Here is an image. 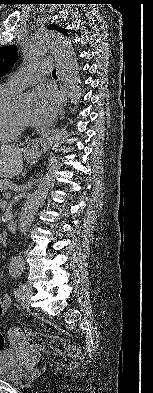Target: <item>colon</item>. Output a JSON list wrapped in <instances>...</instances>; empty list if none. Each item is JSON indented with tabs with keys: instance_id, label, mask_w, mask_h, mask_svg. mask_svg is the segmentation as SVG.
I'll use <instances>...</instances> for the list:
<instances>
[{
	"instance_id": "5ec220e1",
	"label": "colon",
	"mask_w": 153,
	"mask_h": 393,
	"mask_svg": "<svg viewBox=\"0 0 153 393\" xmlns=\"http://www.w3.org/2000/svg\"><path fill=\"white\" fill-rule=\"evenodd\" d=\"M1 308H5V304L0 301V309ZM14 330L16 329H11L12 333L16 334L17 332H15ZM23 335L27 338L28 344L30 346L40 348L48 354L54 356H66L71 358L78 355L77 347L69 344L63 338L29 331L25 332ZM5 345L6 339L4 335L0 333V351L5 348Z\"/></svg>"
}]
</instances>
